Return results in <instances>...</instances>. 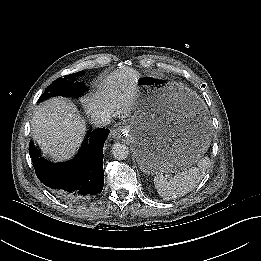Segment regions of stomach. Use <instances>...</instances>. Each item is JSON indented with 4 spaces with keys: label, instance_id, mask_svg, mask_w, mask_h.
Wrapping results in <instances>:
<instances>
[{
    "label": "stomach",
    "instance_id": "stomach-1",
    "mask_svg": "<svg viewBox=\"0 0 261 261\" xmlns=\"http://www.w3.org/2000/svg\"><path fill=\"white\" fill-rule=\"evenodd\" d=\"M194 96L176 83L149 75L138 82L136 105L125 130L147 174L186 170L207 151L206 130L191 125Z\"/></svg>",
    "mask_w": 261,
    "mask_h": 261
}]
</instances>
